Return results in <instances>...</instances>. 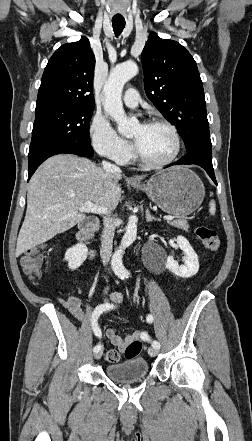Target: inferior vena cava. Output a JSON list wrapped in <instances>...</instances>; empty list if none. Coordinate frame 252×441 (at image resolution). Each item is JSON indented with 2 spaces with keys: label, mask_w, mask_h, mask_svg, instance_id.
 Wrapping results in <instances>:
<instances>
[{
  "label": "inferior vena cava",
  "mask_w": 252,
  "mask_h": 441,
  "mask_svg": "<svg viewBox=\"0 0 252 441\" xmlns=\"http://www.w3.org/2000/svg\"><path fill=\"white\" fill-rule=\"evenodd\" d=\"M103 169L107 173H120L121 169L111 164L107 161L102 162ZM115 209V206H112L110 208V211H113ZM114 227L115 222L114 219L110 216L104 217L103 220V230L101 234V256L103 259V264L106 265L110 261V258L112 256V247H113V237H114Z\"/></svg>",
  "instance_id": "602c4592"
}]
</instances>
